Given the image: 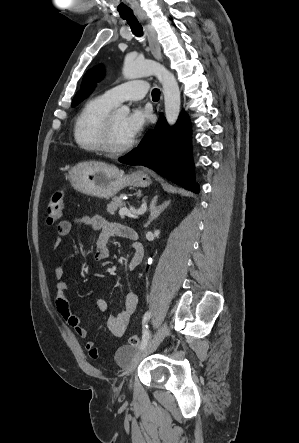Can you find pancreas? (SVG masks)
Wrapping results in <instances>:
<instances>
[{"instance_id": "pancreas-1", "label": "pancreas", "mask_w": 299, "mask_h": 443, "mask_svg": "<svg viewBox=\"0 0 299 443\" xmlns=\"http://www.w3.org/2000/svg\"><path fill=\"white\" fill-rule=\"evenodd\" d=\"M122 197H123V195H121V196H119V197H115V198H113L112 201L108 204V206H107V211H108L111 215H114V214L116 213V211L124 205Z\"/></svg>"}]
</instances>
